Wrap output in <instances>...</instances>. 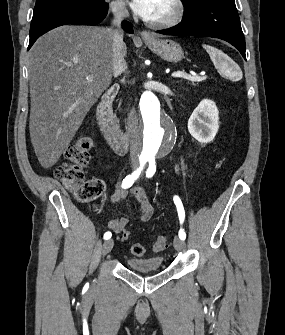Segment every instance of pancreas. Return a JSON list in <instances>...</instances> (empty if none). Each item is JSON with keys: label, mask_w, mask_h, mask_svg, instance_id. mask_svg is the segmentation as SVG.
Segmentation results:
<instances>
[{"label": "pancreas", "mask_w": 285, "mask_h": 335, "mask_svg": "<svg viewBox=\"0 0 285 335\" xmlns=\"http://www.w3.org/2000/svg\"><path fill=\"white\" fill-rule=\"evenodd\" d=\"M192 86H196V84H192Z\"/></svg>", "instance_id": "obj_1"}]
</instances>
